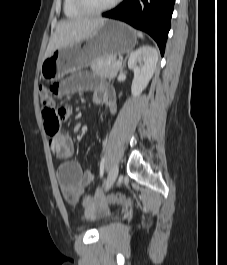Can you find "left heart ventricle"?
Listing matches in <instances>:
<instances>
[{
	"label": "left heart ventricle",
	"mask_w": 227,
	"mask_h": 265,
	"mask_svg": "<svg viewBox=\"0 0 227 265\" xmlns=\"http://www.w3.org/2000/svg\"><path fill=\"white\" fill-rule=\"evenodd\" d=\"M85 1L92 8H100L109 4L113 0H85Z\"/></svg>",
	"instance_id": "left-heart-ventricle-1"
}]
</instances>
